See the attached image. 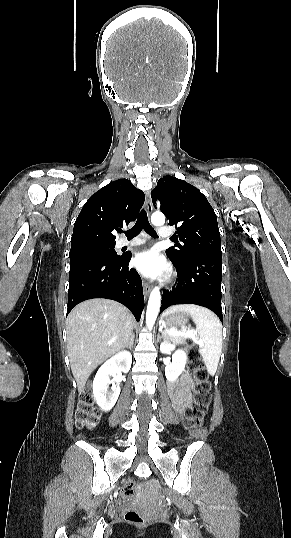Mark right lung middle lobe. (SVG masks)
<instances>
[{
  "label": "right lung middle lobe",
  "instance_id": "right-lung-middle-lobe-1",
  "mask_svg": "<svg viewBox=\"0 0 291 538\" xmlns=\"http://www.w3.org/2000/svg\"><path fill=\"white\" fill-rule=\"evenodd\" d=\"M115 245H91L70 250V262L89 258L115 259L120 256L114 250Z\"/></svg>",
  "mask_w": 291,
  "mask_h": 538
}]
</instances>
